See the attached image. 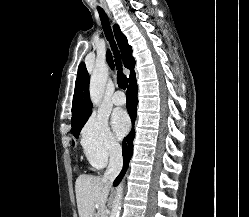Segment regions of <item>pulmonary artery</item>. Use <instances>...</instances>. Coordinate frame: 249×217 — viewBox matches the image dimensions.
I'll use <instances>...</instances> for the list:
<instances>
[{
    "label": "pulmonary artery",
    "instance_id": "pulmonary-artery-1",
    "mask_svg": "<svg viewBox=\"0 0 249 217\" xmlns=\"http://www.w3.org/2000/svg\"><path fill=\"white\" fill-rule=\"evenodd\" d=\"M112 102L117 106L123 105L126 102L124 93L116 91L112 96Z\"/></svg>",
    "mask_w": 249,
    "mask_h": 217
}]
</instances>
